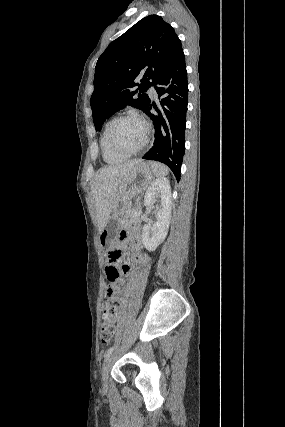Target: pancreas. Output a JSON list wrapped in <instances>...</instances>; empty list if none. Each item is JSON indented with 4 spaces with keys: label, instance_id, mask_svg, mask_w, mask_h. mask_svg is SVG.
<instances>
[{
    "label": "pancreas",
    "instance_id": "obj_1",
    "mask_svg": "<svg viewBox=\"0 0 285 427\" xmlns=\"http://www.w3.org/2000/svg\"><path fill=\"white\" fill-rule=\"evenodd\" d=\"M138 211L137 208H131L129 207L126 210V215L124 217V219L121 221V224H127V223H131L134 222L135 220H137L138 216L135 215V213Z\"/></svg>",
    "mask_w": 285,
    "mask_h": 427
}]
</instances>
